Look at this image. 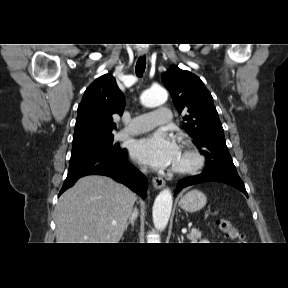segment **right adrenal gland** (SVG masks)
Wrapping results in <instances>:
<instances>
[{
  "mask_svg": "<svg viewBox=\"0 0 288 288\" xmlns=\"http://www.w3.org/2000/svg\"><path fill=\"white\" fill-rule=\"evenodd\" d=\"M138 215H139V211H138V209L135 207L134 210H133V213H132L131 216L129 217V221H128L127 224H126L125 230H127V227H128L130 224H131L132 226H134L135 221H136Z\"/></svg>",
  "mask_w": 288,
  "mask_h": 288,
  "instance_id": "obj_1",
  "label": "right adrenal gland"
}]
</instances>
